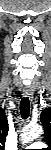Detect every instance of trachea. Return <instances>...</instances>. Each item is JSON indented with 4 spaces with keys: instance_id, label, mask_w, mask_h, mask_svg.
I'll return each mask as SVG.
<instances>
[{
    "instance_id": "trachea-1",
    "label": "trachea",
    "mask_w": 51,
    "mask_h": 150,
    "mask_svg": "<svg viewBox=\"0 0 51 150\" xmlns=\"http://www.w3.org/2000/svg\"><path fill=\"white\" fill-rule=\"evenodd\" d=\"M30 113V103L28 97L22 98L20 102V114L22 119L26 120Z\"/></svg>"
}]
</instances>
